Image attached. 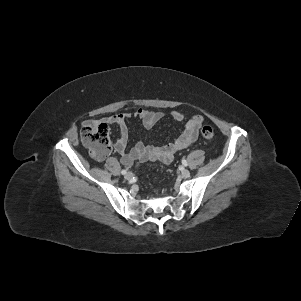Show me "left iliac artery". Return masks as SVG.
I'll return each mask as SVG.
<instances>
[{"mask_svg": "<svg viewBox=\"0 0 301 301\" xmlns=\"http://www.w3.org/2000/svg\"><path fill=\"white\" fill-rule=\"evenodd\" d=\"M182 164H183L184 166H187V165H188V163H187V161H186L185 159H182Z\"/></svg>", "mask_w": 301, "mask_h": 301, "instance_id": "left-iliac-artery-1", "label": "left iliac artery"}]
</instances>
